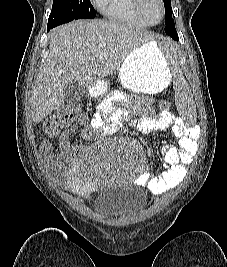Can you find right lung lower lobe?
<instances>
[{
    "label": "right lung lower lobe",
    "mask_w": 227,
    "mask_h": 267,
    "mask_svg": "<svg viewBox=\"0 0 227 267\" xmlns=\"http://www.w3.org/2000/svg\"><path fill=\"white\" fill-rule=\"evenodd\" d=\"M50 29H52V27H51V26H48V31H49Z\"/></svg>",
    "instance_id": "right-lung-lower-lobe-1"
}]
</instances>
